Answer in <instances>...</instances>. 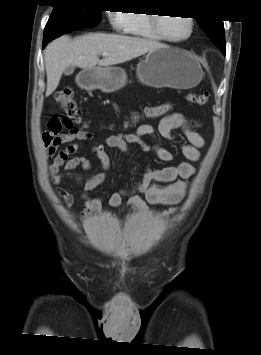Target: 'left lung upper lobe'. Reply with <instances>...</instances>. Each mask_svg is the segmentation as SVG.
Segmentation results:
<instances>
[{"mask_svg": "<svg viewBox=\"0 0 261 355\" xmlns=\"http://www.w3.org/2000/svg\"><path fill=\"white\" fill-rule=\"evenodd\" d=\"M207 36L225 53V34L222 20L196 18Z\"/></svg>", "mask_w": 261, "mask_h": 355, "instance_id": "obj_1", "label": "left lung upper lobe"}]
</instances>
